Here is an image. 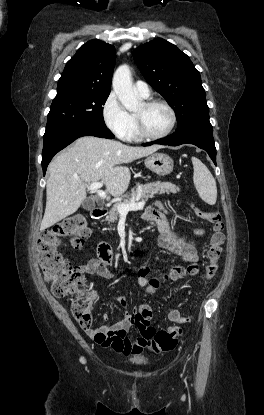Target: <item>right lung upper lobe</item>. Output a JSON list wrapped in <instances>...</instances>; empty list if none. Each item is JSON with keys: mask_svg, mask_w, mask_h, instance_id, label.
I'll use <instances>...</instances> for the list:
<instances>
[{"mask_svg": "<svg viewBox=\"0 0 264 415\" xmlns=\"http://www.w3.org/2000/svg\"><path fill=\"white\" fill-rule=\"evenodd\" d=\"M114 46L91 40L67 62L58 81L57 95L66 93H110L115 65Z\"/></svg>", "mask_w": 264, "mask_h": 415, "instance_id": "right-lung-upper-lobe-1", "label": "right lung upper lobe"}]
</instances>
